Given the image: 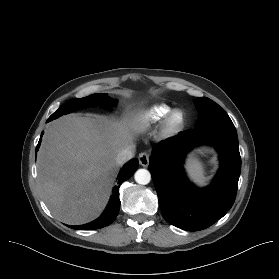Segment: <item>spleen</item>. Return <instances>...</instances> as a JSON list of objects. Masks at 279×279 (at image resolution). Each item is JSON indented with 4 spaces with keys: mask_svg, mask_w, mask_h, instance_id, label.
Masks as SVG:
<instances>
[{
    "mask_svg": "<svg viewBox=\"0 0 279 279\" xmlns=\"http://www.w3.org/2000/svg\"><path fill=\"white\" fill-rule=\"evenodd\" d=\"M187 171L190 178L198 185H204L206 177L204 175L203 165L198 159L190 158L187 163Z\"/></svg>",
    "mask_w": 279,
    "mask_h": 279,
    "instance_id": "obj_1",
    "label": "spleen"
}]
</instances>
